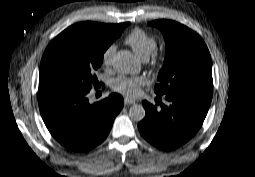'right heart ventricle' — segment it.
<instances>
[{
    "label": "right heart ventricle",
    "mask_w": 255,
    "mask_h": 177,
    "mask_svg": "<svg viewBox=\"0 0 255 177\" xmlns=\"http://www.w3.org/2000/svg\"><path fill=\"white\" fill-rule=\"evenodd\" d=\"M125 42L134 54L143 61L150 57L157 46L156 38L139 28L134 29L126 37Z\"/></svg>",
    "instance_id": "e07e8e85"
}]
</instances>
